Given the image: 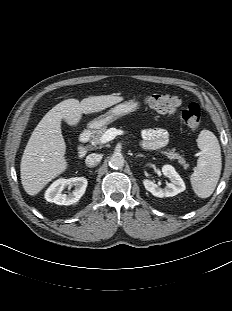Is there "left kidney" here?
<instances>
[{"label": "left kidney", "mask_w": 232, "mask_h": 311, "mask_svg": "<svg viewBox=\"0 0 232 311\" xmlns=\"http://www.w3.org/2000/svg\"><path fill=\"white\" fill-rule=\"evenodd\" d=\"M162 173L164 176L170 179V183L166 185L165 188L158 187L153 181L144 179L143 184L147 191L152 195L163 198L172 197L186 189L185 183L176 172L175 168L171 165H164L162 167Z\"/></svg>", "instance_id": "obj_1"}]
</instances>
